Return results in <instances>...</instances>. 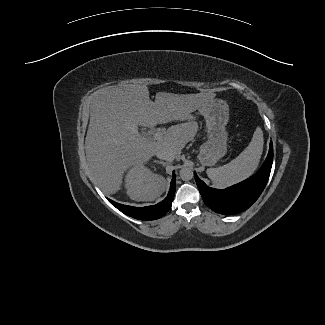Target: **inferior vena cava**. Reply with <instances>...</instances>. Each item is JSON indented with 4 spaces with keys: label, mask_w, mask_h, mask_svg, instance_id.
<instances>
[{
    "label": "inferior vena cava",
    "mask_w": 325,
    "mask_h": 325,
    "mask_svg": "<svg viewBox=\"0 0 325 325\" xmlns=\"http://www.w3.org/2000/svg\"><path fill=\"white\" fill-rule=\"evenodd\" d=\"M156 156L159 159L166 160V161H173L175 159V154L167 149H160L157 151Z\"/></svg>",
    "instance_id": "obj_1"
}]
</instances>
